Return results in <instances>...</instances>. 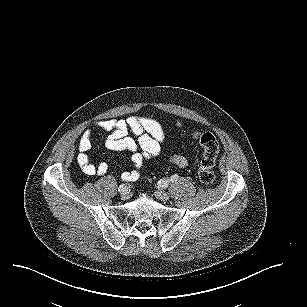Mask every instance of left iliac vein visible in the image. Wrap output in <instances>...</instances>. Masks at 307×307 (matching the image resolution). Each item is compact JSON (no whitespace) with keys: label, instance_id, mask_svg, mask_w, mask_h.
Listing matches in <instances>:
<instances>
[{"label":"left iliac vein","instance_id":"left-iliac-vein-1","mask_svg":"<svg viewBox=\"0 0 307 307\" xmlns=\"http://www.w3.org/2000/svg\"><path fill=\"white\" fill-rule=\"evenodd\" d=\"M155 196L161 201L169 200L170 195L161 189L155 191Z\"/></svg>","mask_w":307,"mask_h":307}]
</instances>
